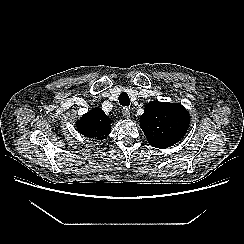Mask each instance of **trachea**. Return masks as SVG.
Returning <instances> with one entry per match:
<instances>
[{
    "label": "trachea",
    "mask_w": 244,
    "mask_h": 244,
    "mask_svg": "<svg viewBox=\"0 0 244 244\" xmlns=\"http://www.w3.org/2000/svg\"><path fill=\"white\" fill-rule=\"evenodd\" d=\"M119 103L122 106H129L130 105V99H129V96L126 92H122L119 95Z\"/></svg>",
    "instance_id": "3493384b"
}]
</instances>
